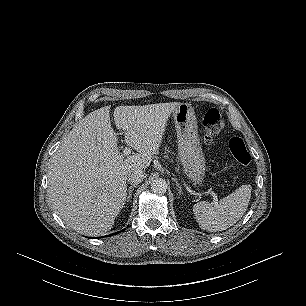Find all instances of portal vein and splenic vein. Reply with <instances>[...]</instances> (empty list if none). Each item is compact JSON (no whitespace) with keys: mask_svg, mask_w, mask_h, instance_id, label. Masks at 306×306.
<instances>
[{"mask_svg":"<svg viewBox=\"0 0 306 306\" xmlns=\"http://www.w3.org/2000/svg\"><path fill=\"white\" fill-rule=\"evenodd\" d=\"M130 153H131V149L128 148V147H125V148H124V151H123V155H124V156H128ZM209 194H211V195L213 196V202H214V204H217L218 198H217V195L215 194V192L209 191Z\"/></svg>","mask_w":306,"mask_h":306,"instance_id":"obj_1","label":"portal vein and splenic vein"}]
</instances>
